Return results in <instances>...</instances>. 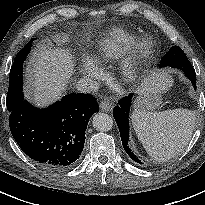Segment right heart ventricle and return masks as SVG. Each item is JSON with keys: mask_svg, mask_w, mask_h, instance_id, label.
Returning a JSON list of instances; mask_svg holds the SVG:
<instances>
[{"mask_svg": "<svg viewBox=\"0 0 205 205\" xmlns=\"http://www.w3.org/2000/svg\"><path fill=\"white\" fill-rule=\"evenodd\" d=\"M134 41V34L125 29L115 28L97 44L92 58L98 64L115 61L133 46Z\"/></svg>", "mask_w": 205, "mask_h": 205, "instance_id": "e07e8e85", "label": "right heart ventricle"}]
</instances>
